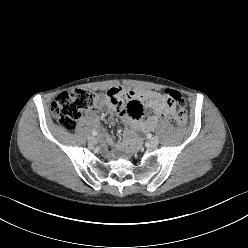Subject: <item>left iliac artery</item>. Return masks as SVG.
Returning <instances> with one entry per match:
<instances>
[{
  "label": "left iliac artery",
  "instance_id": "44dca946",
  "mask_svg": "<svg viewBox=\"0 0 248 248\" xmlns=\"http://www.w3.org/2000/svg\"><path fill=\"white\" fill-rule=\"evenodd\" d=\"M147 137H148V138H151V137H152V135H151V134H148V135H147Z\"/></svg>",
  "mask_w": 248,
  "mask_h": 248
}]
</instances>
